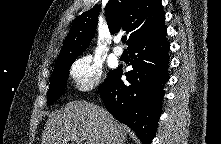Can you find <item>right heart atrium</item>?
Returning a JSON list of instances; mask_svg holds the SVG:
<instances>
[{
	"label": "right heart atrium",
	"instance_id": "d8ad5b80",
	"mask_svg": "<svg viewBox=\"0 0 221 144\" xmlns=\"http://www.w3.org/2000/svg\"><path fill=\"white\" fill-rule=\"evenodd\" d=\"M101 63L91 55L78 58L70 68V77L79 92H89L96 88L102 79Z\"/></svg>",
	"mask_w": 221,
	"mask_h": 144
}]
</instances>
